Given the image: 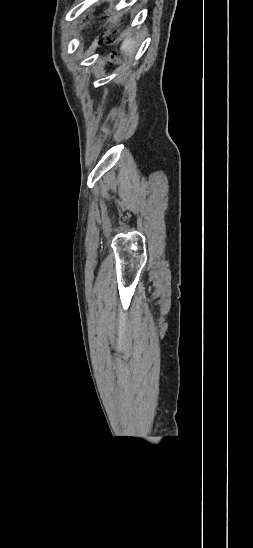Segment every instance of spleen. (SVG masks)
Instances as JSON below:
<instances>
[{"label":"spleen","instance_id":"3e777b00","mask_svg":"<svg viewBox=\"0 0 253 548\" xmlns=\"http://www.w3.org/2000/svg\"><path fill=\"white\" fill-rule=\"evenodd\" d=\"M134 48H135V43L131 37H127L121 45V51L125 55H133L135 51Z\"/></svg>","mask_w":253,"mask_h":548}]
</instances>
